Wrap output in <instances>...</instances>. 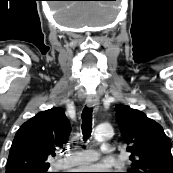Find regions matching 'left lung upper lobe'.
Here are the masks:
<instances>
[{
  "mask_svg": "<svg viewBox=\"0 0 173 173\" xmlns=\"http://www.w3.org/2000/svg\"><path fill=\"white\" fill-rule=\"evenodd\" d=\"M115 110L131 153V169L127 173H173L171 145L162 126L129 106L118 105Z\"/></svg>",
  "mask_w": 173,
  "mask_h": 173,
  "instance_id": "obj_1",
  "label": "left lung upper lobe"
}]
</instances>
